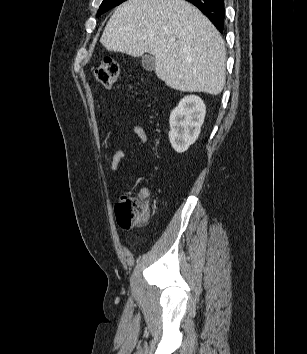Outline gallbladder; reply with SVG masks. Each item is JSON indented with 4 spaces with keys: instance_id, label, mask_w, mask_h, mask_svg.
<instances>
[{
    "instance_id": "gallbladder-1",
    "label": "gallbladder",
    "mask_w": 307,
    "mask_h": 354,
    "mask_svg": "<svg viewBox=\"0 0 307 354\" xmlns=\"http://www.w3.org/2000/svg\"><path fill=\"white\" fill-rule=\"evenodd\" d=\"M141 63L146 71H153L155 69V58L152 55H144Z\"/></svg>"
}]
</instances>
